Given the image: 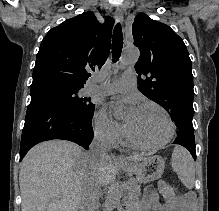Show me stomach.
Instances as JSON below:
<instances>
[{
    "mask_svg": "<svg viewBox=\"0 0 219 211\" xmlns=\"http://www.w3.org/2000/svg\"><path fill=\"white\" fill-rule=\"evenodd\" d=\"M121 168L134 173L140 183H148L161 178L165 161L159 155H149L141 161L122 164Z\"/></svg>",
    "mask_w": 219,
    "mask_h": 211,
    "instance_id": "0dacf381",
    "label": "stomach"
}]
</instances>
